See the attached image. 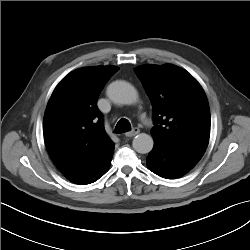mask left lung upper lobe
<instances>
[{
    "label": "left lung upper lobe",
    "mask_w": 250,
    "mask_h": 250,
    "mask_svg": "<svg viewBox=\"0 0 250 250\" xmlns=\"http://www.w3.org/2000/svg\"><path fill=\"white\" fill-rule=\"evenodd\" d=\"M152 103L154 141L176 148L205 151L210 136V110L200 84L174 65L135 68Z\"/></svg>",
    "instance_id": "1"
}]
</instances>
